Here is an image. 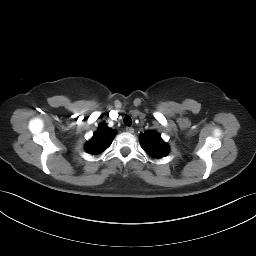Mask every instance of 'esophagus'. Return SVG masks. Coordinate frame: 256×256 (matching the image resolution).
I'll return each instance as SVG.
<instances>
[{
  "label": "esophagus",
  "mask_w": 256,
  "mask_h": 256,
  "mask_svg": "<svg viewBox=\"0 0 256 256\" xmlns=\"http://www.w3.org/2000/svg\"><path fill=\"white\" fill-rule=\"evenodd\" d=\"M126 131L128 133H134V129L132 127H126Z\"/></svg>",
  "instance_id": "1"
}]
</instances>
